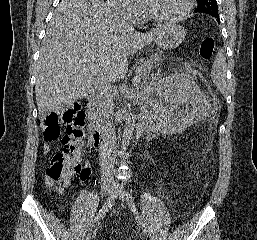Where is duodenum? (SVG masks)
I'll return each instance as SVG.
<instances>
[{"mask_svg": "<svg viewBox=\"0 0 257 240\" xmlns=\"http://www.w3.org/2000/svg\"><path fill=\"white\" fill-rule=\"evenodd\" d=\"M95 97V91L88 89L85 93L87 101H92ZM122 119V114L116 115L112 120L101 126L91 124L89 131L93 146L96 149H105L114 143L117 135L118 122Z\"/></svg>", "mask_w": 257, "mask_h": 240, "instance_id": "obj_1", "label": "duodenum"}]
</instances>
